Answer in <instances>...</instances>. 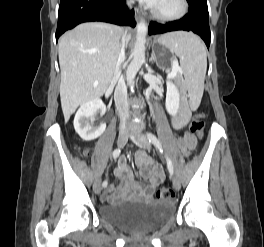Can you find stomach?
I'll return each mask as SVG.
<instances>
[{"instance_id":"0dacf381","label":"stomach","mask_w":264,"mask_h":247,"mask_svg":"<svg viewBox=\"0 0 264 247\" xmlns=\"http://www.w3.org/2000/svg\"><path fill=\"white\" fill-rule=\"evenodd\" d=\"M160 38L157 41H155L153 44L154 58H156V61L158 62L156 64V67L157 68H168L169 64L167 62L171 61L172 53H168L169 48L166 45L161 43Z\"/></svg>"}]
</instances>
